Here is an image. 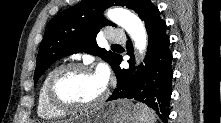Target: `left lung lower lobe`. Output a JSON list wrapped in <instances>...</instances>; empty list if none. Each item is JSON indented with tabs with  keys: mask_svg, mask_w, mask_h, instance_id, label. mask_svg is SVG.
<instances>
[{
	"mask_svg": "<svg viewBox=\"0 0 221 123\" xmlns=\"http://www.w3.org/2000/svg\"><path fill=\"white\" fill-rule=\"evenodd\" d=\"M139 17L145 22L149 41L144 65L141 64L135 72L132 45L127 43L128 54L131 56L128 61L130 69L120 68L122 56L119 55L112 66L117 77V88L108 100L136 99L153 108L166 122L170 114L173 78V57L169 49V37L165 32L166 23L151 2L146 4Z\"/></svg>",
	"mask_w": 221,
	"mask_h": 123,
	"instance_id": "obj_1",
	"label": "left lung lower lobe"
}]
</instances>
